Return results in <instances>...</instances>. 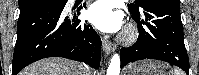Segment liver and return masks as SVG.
Returning a JSON list of instances; mask_svg holds the SVG:
<instances>
[{"label":"liver","mask_w":199,"mask_h":75,"mask_svg":"<svg viewBox=\"0 0 199 75\" xmlns=\"http://www.w3.org/2000/svg\"><path fill=\"white\" fill-rule=\"evenodd\" d=\"M19 75H91V71L68 59L46 58L26 67Z\"/></svg>","instance_id":"obj_1"}]
</instances>
